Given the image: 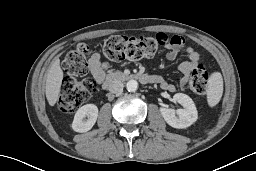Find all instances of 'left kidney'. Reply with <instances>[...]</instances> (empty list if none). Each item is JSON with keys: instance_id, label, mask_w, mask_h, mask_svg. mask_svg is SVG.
<instances>
[{"instance_id": "obj_1", "label": "left kidney", "mask_w": 256, "mask_h": 171, "mask_svg": "<svg viewBox=\"0 0 256 171\" xmlns=\"http://www.w3.org/2000/svg\"><path fill=\"white\" fill-rule=\"evenodd\" d=\"M173 100L183 108L174 110L161 107L160 112L164 120L173 128L183 129L192 125L198 118V113L193 100L186 94L177 93Z\"/></svg>"}]
</instances>
